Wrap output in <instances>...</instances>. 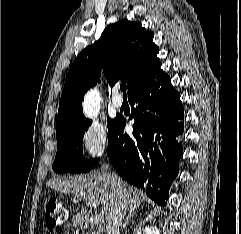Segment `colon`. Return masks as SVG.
Returning <instances> with one entry per match:
<instances>
[{
    "label": "colon",
    "mask_w": 241,
    "mask_h": 234,
    "mask_svg": "<svg viewBox=\"0 0 241 234\" xmlns=\"http://www.w3.org/2000/svg\"><path fill=\"white\" fill-rule=\"evenodd\" d=\"M67 217L65 207L55 197H50L45 207V224L48 228H55L65 222Z\"/></svg>",
    "instance_id": "colon-1"
}]
</instances>
